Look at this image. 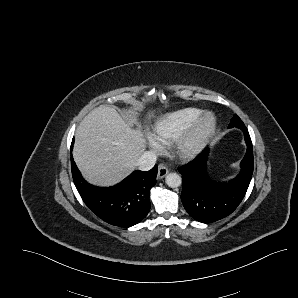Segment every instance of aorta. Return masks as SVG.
I'll use <instances>...</instances> for the list:
<instances>
[{
  "mask_svg": "<svg viewBox=\"0 0 298 298\" xmlns=\"http://www.w3.org/2000/svg\"><path fill=\"white\" fill-rule=\"evenodd\" d=\"M165 183L170 188H177L182 185V177L176 172H170L165 177Z\"/></svg>",
  "mask_w": 298,
  "mask_h": 298,
  "instance_id": "1",
  "label": "aorta"
}]
</instances>
